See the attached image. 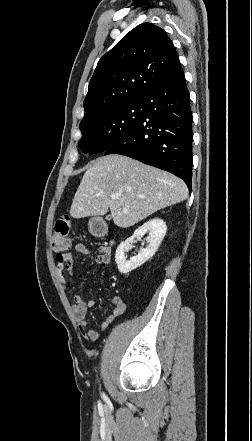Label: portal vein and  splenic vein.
Instances as JSON below:
<instances>
[{"label":"portal vein and splenic vein","instance_id":"18ae733b","mask_svg":"<svg viewBox=\"0 0 252 441\" xmlns=\"http://www.w3.org/2000/svg\"><path fill=\"white\" fill-rule=\"evenodd\" d=\"M111 198H112V199H116L117 196H116V195H111Z\"/></svg>","mask_w":252,"mask_h":441}]
</instances>
